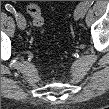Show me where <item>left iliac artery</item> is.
<instances>
[{"label": "left iliac artery", "instance_id": "left-iliac-artery-1", "mask_svg": "<svg viewBox=\"0 0 109 109\" xmlns=\"http://www.w3.org/2000/svg\"><path fill=\"white\" fill-rule=\"evenodd\" d=\"M81 4L83 6L84 12H86V10H88V8L91 6V3L88 1H86L84 3L82 2Z\"/></svg>", "mask_w": 109, "mask_h": 109}]
</instances>
